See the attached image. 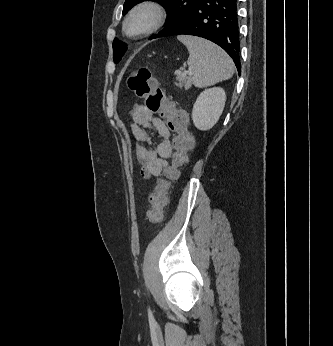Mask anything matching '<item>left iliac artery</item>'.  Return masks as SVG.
<instances>
[{
  "mask_svg": "<svg viewBox=\"0 0 333 346\" xmlns=\"http://www.w3.org/2000/svg\"><path fill=\"white\" fill-rule=\"evenodd\" d=\"M148 316H149V319H154L153 314H152L150 309H148Z\"/></svg>",
  "mask_w": 333,
  "mask_h": 346,
  "instance_id": "44dca946",
  "label": "left iliac artery"
}]
</instances>
